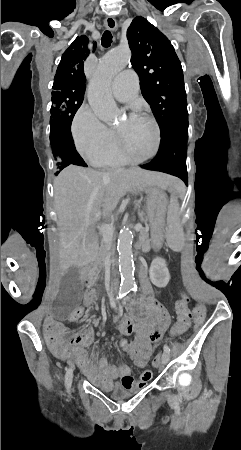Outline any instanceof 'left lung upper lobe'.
Here are the masks:
<instances>
[{
    "label": "left lung upper lobe",
    "instance_id": "left-lung-upper-lobe-1",
    "mask_svg": "<svg viewBox=\"0 0 241 450\" xmlns=\"http://www.w3.org/2000/svg\"><path fill=\"white\" fill-rule=\"evenodd\" d=\"M127 39L142 95L163 131L177 117L188 115L181 63L166 36L142 17L132 21Z\"/></svg>",
    "mask_w": 241,
    "mask_h": 450
}]
</instances>
